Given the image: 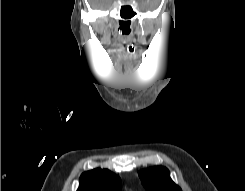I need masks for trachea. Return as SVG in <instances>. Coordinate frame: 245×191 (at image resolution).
Wrapping results in <instances>:
<instances>
[{
	"label": "trachea",
	"mask_w": 245,
	"mask_h": 191,
	"mask_svg": "<svg viewBox=\"0 0 245 191\" xmlns=\"http://www.w3.org/2000/svg\"><path fill=\"white\" fill-rule=\"evenodd\" d=\"M129 52L132 54L133 53V49H129Z\"/></svg>",
	"instance_id": "trachea-1"
}]
</instances>
